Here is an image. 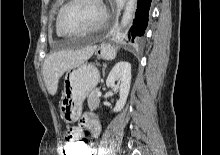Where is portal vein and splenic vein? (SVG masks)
Returning <instances> with one entry per match:
<instances>
[{"label": "portal vein and splenic vein", "mask_w": 220, "mask_h": 155, "mask_svg": "<svg viewBox=\"0 0 220 155\" xmlns=\"http://www.w3.org/2000/svg\"><path fill=\"white\" fill-rule=\"evenodd\" d=\"M100 95H101V92H100V91H98V92H97V96L99 97Z\"/></svg>", "instance_id": "1"}]
</instances>
